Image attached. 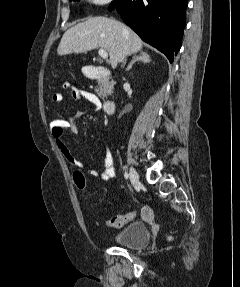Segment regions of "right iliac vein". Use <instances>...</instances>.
I'll return each mask as SVG.
<instances>
[{"mask_svg":"<svg viewBox=\"0 0 240 287\" xmlns=\"http://www.w3.org/2000/svg\"><path fill=\"white\" fill-rule=\"evenodd\" d=\"M129 176H130V181L134 186H137L140 184L139 175L133 167L130 168Z\"/></svg>","mask_w":240,"mask_h":287,"instance_id":"right-iliac-vein-1","label":"right iliac vein"}]
</instances>
